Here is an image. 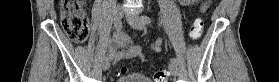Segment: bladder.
<instances>
[{
    "instance_id": "bladder-1",
    "label": "bladder",
    "mask_w": 279,
    "mask_h": 82,
    "mask_svg": "<svg viewBox=\"0 0 279 82\" xmlns=\"http://www.w3.org/2000/svg\"><path fill=\"white\" fill-rule=\"evenodd\" d=\"M115 82H153L151 79H149L147 76L140 74V73H128L124 74Z\"/></svg>"
}]
</instances>
